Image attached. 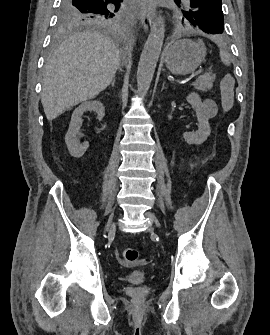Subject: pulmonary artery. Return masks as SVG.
<instances>
[{
	"label": "pulmonary artery",
	"mask_w": 270,
	"mask_h": 335,
	"mask_svg": "<svg viewBox=\"0 0 270 335\" xmlns=\"http://www.w3.org/2000/svg\"><path fill=\"white\" fill-rule=\"evenodd\" d=\"M183 3L188 5L189 4V0H183Z\"/></svg>",
	"instance_id": "e3ab8cb5"
}]
</instances>
